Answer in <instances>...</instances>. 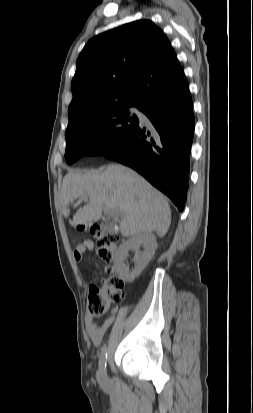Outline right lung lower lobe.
I'll return each mask as SVG.
<instances>
[{"mask_svg":"<svg viewBox=\"0 0 253 413\" xmlns=\"http://www.w3.org/2000/svg\"><path fill=\"white\" fill-rule=\"evenodd\" d=\"M140 110L152 127L139 124L103 156L135 169L183 211L195 123L190 91L151 101Z\"/></svg>","mask_w":253,"mask_h":413,"instance_id":"1","label":"right lung lower lobe"}]
</instances>
